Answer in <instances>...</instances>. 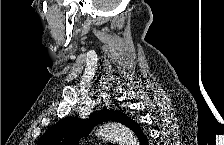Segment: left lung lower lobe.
Instances as JSON below:
<instances>
[{
    "label": "left lung lower lobe",
    "instance_id": "0a47b994",
    "mask_svg": "<svg viewBox=\"0 0 224 145\" xmlns=\"http://www.w3.org/2000/svg\"><path fill=\"white\" fill-rule=\"evenodd\" d=\"M130 129L133 130V132L136 134L138 137L141 145H148V140L146 135L142 132L140 125L136 123L135 121L132 122L130 125Z\"/></svg>",
    "mask_w": 224,
    "mask_h": 145
}]
</instances>
